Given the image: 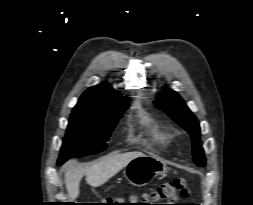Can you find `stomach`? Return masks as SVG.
<instances>
[{"label":"stomach","instance_id":"stomach-1","mask_svg":"<svg viewBox=\"0 0 253 205\" xmlns=\"http://www.w3.org/2000/svg\"><path fill=\"white\" fill-rule=\"evenodd\" d=\"M166 164L154 156H139L131 160L124 170L125 179L135 186H144L157 175L167 172Z\"/></svg>","mask_w":253,"mask_h":205}]
</instances>
